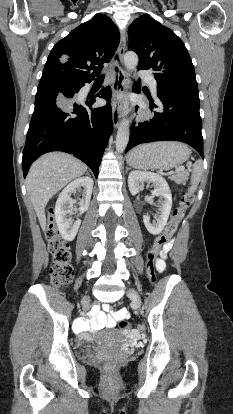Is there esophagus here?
I'll list each match as a JSON object with an SVG mask.
<instances>
[{
    "mask_svg": "<svg viewBox=\"0 0 233 414\" xmlns=\"http://www.w3.org/2000/svg\"><path fill=\"white\" fill-rule=\"evenodd\" d=\"M126 50V33L121 32L120 45L118 49V60L114 67V79H113V97H112V120L115 128L118 127L121 117V94L125 90L126 76L124 73L122 60Z\"/></svg>",
    "mask_w": 233,
    "mask_h": 414,
    "instance_id": "esophagus-1",
    "label": "esophagus"
}]
</instances>
